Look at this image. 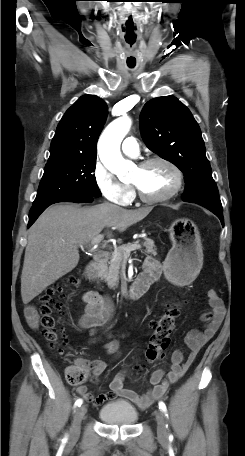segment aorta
<instances>
[{
	"label": "aorta",
	"instance_id": "obj_1",
	"mask_svg": "<svg viewBox=\"0 0 245 456\" xmlns=\"http://www.w3.org/2000/svg\"><path fill=\"white\" fill-rule=\"evenodd\" d=\"M131 127V119L120 117L111 122L101 134L98 141V153L103 165L120 179L132 166V162L123 158L120 144Z\"/></svg>",
	"mask_w": 245,
	"mask_h": 456
}]
</instances>
